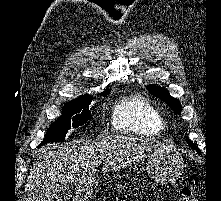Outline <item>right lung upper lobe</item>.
<instances>
[{
	"label": "right lung upper lobe",
	"mask_w": 221,
	"mask_h": 201,
	"mask_svg": "<svg viewBox=\"0 0 221 201\" xmlns=\"http://www.w3.org/2000/svg\"><path fill=\"white\" fill-rule=\"evenodd\" d=\"M107 91H110V89H107V90L104 91V92H107ZM87 96H89V95H82V96H80L78 99L83 98V97H87Z\"/></svg>",
	"instance_id": "right-lung-upper-lobe-1"
}]
</instances>
